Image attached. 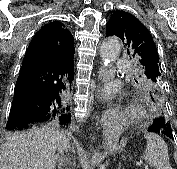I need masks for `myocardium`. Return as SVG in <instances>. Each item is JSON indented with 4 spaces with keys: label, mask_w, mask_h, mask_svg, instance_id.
I'll list each match as a JSON object with an SVG mask.
<instances>
[{
    "label": "myocardium",
    "mask_w": 177,
    "mask_h": 169,
    "mask_svg": "<svg viewBox=\"0 0 177 169\" xmlns=\"http://www.w3.org/2000/svg\"><path fill=\"white\" fill-rule=\"evenodd\" d=\"M131 117L132 119H139L140 117H142V113L139 110H136L132 113Z\"/></svg>",
    "instance_id": "f54148a6"
}]
</instances>
